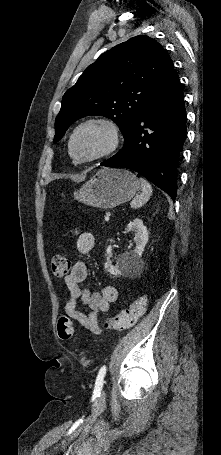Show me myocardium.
Wrapping results in <instances>:
<instances>
[{"label":"myocardium","instance_id":"1","mask_svg":"<svg viewBox=\"0 0 221 455\" xmlns=\"http://www.w3.org/2000/svg\"><path fill=\"white\" fill-rule=\"evenodd\" d=\"M90 126L99 127L106 131L108 136L107 146L99 153L86 158H80L75 154L74 144L79 133ZM120 144V129L118 125L106 117H90L80 122L73 130L69 140V152L73 160L77 163H86L102 159L113 153Z\"/></svg>","mask_w":221,"mask_h":455}]
</instances>
